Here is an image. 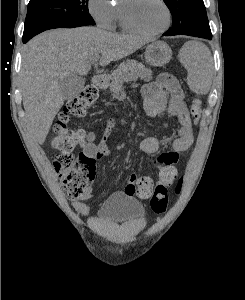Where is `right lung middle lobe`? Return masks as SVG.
<instances>
[{
    "instance_id": "obj_1",
    "label": "right lung middle lobe",
    "mask_w": 245,
    "mask_h": 300,
    "mask_svg": "<svg viewBox=\"0 0 245 300\" xmlns=\"http://www.w3.org/2000/svg\"><path fill=\"white\" fill-rule=\"evenodd\" d=\"M95 25L88 0H30L23 38H32L48 29Z\"/></svg>"
}]
</instances>
